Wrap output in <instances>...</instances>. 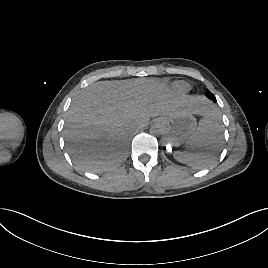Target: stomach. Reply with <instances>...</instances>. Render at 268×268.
Listing matches in <instances>:
<instances>
[{"label": "stomach", "mask_w": 268, "mask_h": 268, "mask_svg": "<svg viewBox=\"0 0 268 268\" xmlns=\"http://www.w3.org/2000/svg\"><path fill=\"white\" fill-rule=\"evenodd\" d=\"M156 124L162 129L167 142L172 146L187 142L197 128L196 119L188 111L161 116L156 119Z\"/></svg>", "instance_id": "stomach-1"}]
</instances>
